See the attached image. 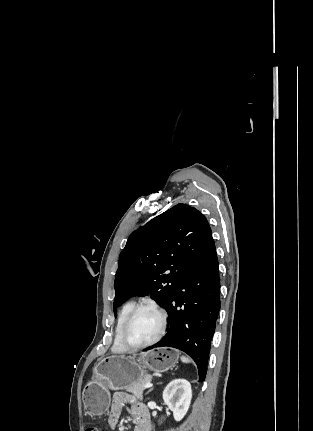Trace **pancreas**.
I'll list each match as a JSON object with an SVG mask.
<instances>
[{"label":"pancreas","mask_w":313,"mask_h":431,"mask_svg":"<svg viewBox=\"0 0 313 431\" xmlns=\"http://www.w3.org/2000/svg\"><path fill=\"white\" fill-rule=\"evenodd\" d=\"M149 380L150 377L147 376V378L145 379L126 386V390L133 393L137 398L141 399L143 397V391L145 390V387H143L142 385Z\"/></svg>","instance_id":"obj_1"}]
</instances>
